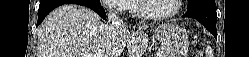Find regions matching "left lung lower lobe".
Instances as JSON below:
<instances>
[{"instance_id":"0a47b994","label":"left lung lower lobe","mask_w":249,"mask_h":57,"mask_svg":"<svg viewBox=\"0 0 249 57\" xmlns=\"http://www.w3.org/2000/svg\"><path fill=\"white\" fill-rule=\"evenodd\" d=\"M183 17L194 18L198 20L204 27L217 38L216 30V6L215 2H203L191 9H187V13Z\"/></svg>"}]
</instances>
